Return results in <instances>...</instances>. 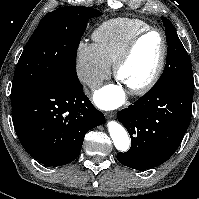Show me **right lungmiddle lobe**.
Wrapping results in <instances>:
<instances>
[{
	"mask_svg": "<svg viewBox=\"0 0 199 199\" xmlns=\"http://www.w3.org/2000/svg\"><path fill=\"white\" fill-rule=\"evenodd\" d=\"M102 13L90 7H61L48 13L29 39L15 69L11 101L33 88L62 80L75 86L76 54L87 21Z\"/></svg>",
	"mask_w": 199,
	"mask_h": 199,
	"instance_id": "right-lung-middle-lobe-1",
	"label": "right lung middle lobe"
}]
</instances>
